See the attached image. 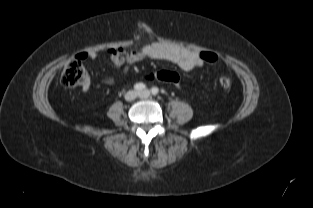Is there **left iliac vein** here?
I'll return each instance as SVG.
<instances>
[{
	"label": "left iliac vein",
	"instance_id": "1",
	"mask_svg": "<svg viewBox=\"0 0 313 208\" xmlns=\"http://www.w3.org/2000/svg\"><path fill=\"white\" fill-rule=\"evenodd\" d=\"M138 96L142 99H147L150 97V91L149 90H143L138 92Z\"/></svg>",
	"mask_w": 313,
	"mask_h": 208
}]
</instances>
